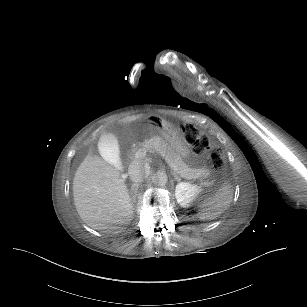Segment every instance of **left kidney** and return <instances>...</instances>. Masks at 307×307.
<instances>
[{
    "mask_svg": "<svg viewBox=\"0 0 307 307\" xmlns=\"http://www.w3.org/2000/svg\"><path fill=\"white\" fill-rule=\"evenodd\" d=\"M201 192V187L189 182H179L175 188V197L182 207H188Z\"/></svg>",
    "mask_w": 307,
    "mask_h": 307,
    "instance_id": "obj_1",
    "label": "left kidney"
}]
</instances>
